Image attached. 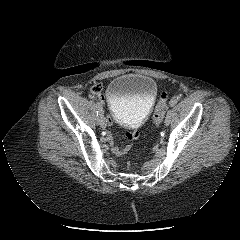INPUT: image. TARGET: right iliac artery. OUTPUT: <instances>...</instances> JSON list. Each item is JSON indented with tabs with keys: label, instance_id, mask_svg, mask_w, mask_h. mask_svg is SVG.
<instances>
[{
	"label": "right iliac artery",
	"instance_id": "right-iliac-artery-1",
	"mask_svg": "<svg viewBox=\"0 0 240 240\" xmlns=\"http://www.w3.org/2000/svg\"><path fill=\"white\" fill-rule=\"evenodd\" d=\"M97 116H98V121L101 116H103V108L100 102H97Z\"/></svg>",
	"mask_w": 240,
	"mask_h": 240
}]
</instances>
